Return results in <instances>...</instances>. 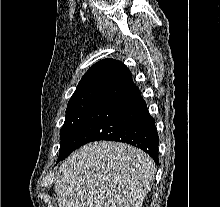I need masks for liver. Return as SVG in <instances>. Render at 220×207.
Here are the masks:
<instances>
[{"label":"liver","instance_id":"liver-1","mask_svg":"<svg viewBox=\"0 0 220 207\" xmlns=\"http://www.w3.org/2000/svg\"><path fill=\"white\" fill-rule=\"evenodd\" d=\"M156 166L128 144L96 141L73 152L55 180L59 207H141Z\"/></svg>","mask_w":220,"mask_h":207}]
</instances>
